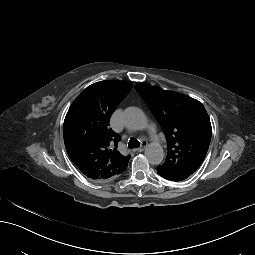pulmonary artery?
Wrapping results in <instances>:
<instances>
[{
    "mask_svg": "<svg viewBox=\"0 0 255 255\" xmlns=\"http://www.w3.org/2000/svg\"><path fill=\"white\" fill-rule=\"evenodd\" d=\"M148 128L150 129V134L153 136V141L156 144H159L161 142V139L158 135V131L155 129V122L153 120H150L148 122Z\"/></svg>",
    "mask_w": 255,
    "mask_h": 255,
    "instance_id": "e3ab8cb5",
    "label": "pulmonary artery"
}]
</instances>
